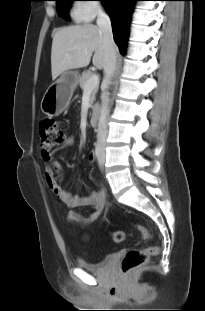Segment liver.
Wrapping results in <instances>:
<instances>
[{
    "label": "liver",
    "mask_w": 205,
    "mask_h": 311,
    "mask_svg": "<svg viewBox=\"0 0 205 311\" xmlns=\"http://www.w3.org/2000/svg\"><path fill=\"white\" fill-rule=\"evenodd\" d=\"M93 53V65L104 69L105 47L98 26L85 23L58 29L53 35L51 49L52 79L65 71L88 66Z\"/></svg>",
    "instance_id": "6515ba94"
}]
</instances>
